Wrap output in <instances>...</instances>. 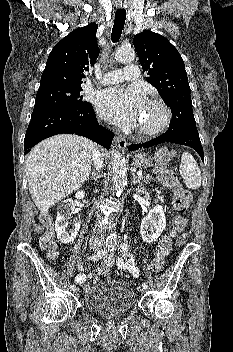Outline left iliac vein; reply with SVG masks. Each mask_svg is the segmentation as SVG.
Here are the masks:
<instances>
[{
	"mask_svg": "<svg viewBox=\"0 0 233 352\" xmlns=\"http://www.w3.org/2000/svg\"><path fill=\"white\" fill-rule=\"evenodd\" d=\"M139 291H140V293H141V294H144V293H145V291H146V289H144V288H140V289H139Z\"/></svg>",
	"mask_w": 233,
	"mask_h": 352,
	"instance_id": "obj_1",
	"label": "left iliac vein"
}]
</instances>
